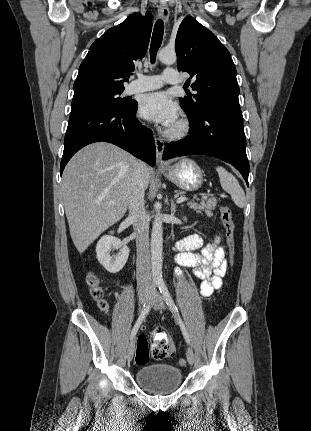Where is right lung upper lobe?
<instances>
[{"label": "right lung upper lobe", "instance_id": "right-lung-upper-lobe-1", "mask_svg": "<svg viewBox=\"0 0 311 431\" xmlns=\"http://www.w3.org/2000/svg\"><path fill=\"white\" fill-rule=\"evenodd\" d=\"M151 14L135 13L107 30L90 47L79 67L74 94L87 91H123L134 71V61L145 56L152 30Z\"/></svg>", "mask_w": 311, "mask_h": 431}]
</instances>
